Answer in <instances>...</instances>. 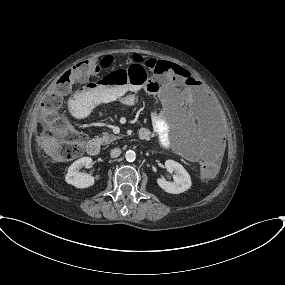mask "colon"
Instances as JSON below:
<instances>
[{"label":"colon","mask_w":285,"mask_h":285,"mask_svg":"<svg viewBox=\"0 0 285 285\" xmlns=\"http://www.w3.org/2000/svg\"><path fill=\"white\" fill-rule=\"evenodd\" d=\"M111 59L105 57L99 62L88 59L78 63L67 70L52 86L45 92L38 103V112L41 118L55 122L65 138V142L53 153L56 161H66L79 158L83 153L86 136L77 131L70 123L59 118V112L64 98L72 86L83 82L98 80L103 85H124L132 82L134 86H144L148 93L155 95L158 86L155 81L147 80V71H151L160 80L168 78L181 79L187 77L185 70L168 61L129 60L126 66L116 71H110ZM104 72V73H103ZM103 73L100 77L99 74ZM218 171L216 160L203 161L200 165V176L202 180L212 179Z\"/></svg>","instance_id":"colon-1"}]
</instances>
